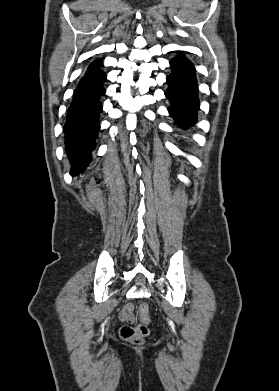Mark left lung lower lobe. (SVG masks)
I'll return each mask as SVG.
<instances>
[{
	"instance_id": "1",
	"label": "left lung lower lobe",
	"mask_w": 279,
	"mask_h": 391,
	"mask_svg": "<svg viewBox=\"0 0 279 391\" xmlns=\"http://www.w3.org/2000/svg\"><path fill=\"white\" fill-rule=\"evenodd\" d=\"M172 73L167 76L165 96L170 100L168 111L175 124L185 130L197 122L199 110L198 86L193 64L178 54L170 61Z\"/></svg>"
}]
</instances>
